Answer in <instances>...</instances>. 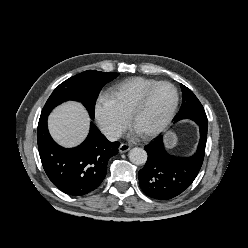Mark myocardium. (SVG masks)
Wrapping results in <instances>:
<instances>
[{
	"label": "myocardium",
	"instance_id": "obj_1",
	"mask_svg": "<svg viewBox=\"0 0 248 248\" xmlns=\"http://www.w3.org/2000/svg\"><path fill=\"white\" fill-rule=\"evenodd\" d=\"M162 85L169 86L173 89L174 101H173V104L171 106L169 113L167 114L165 119L158 126H156L154 129H152L148 132L140 133V136L145 138V139L153 138V137L159 135L160 133H162L168 127V125L171 123V121L173 120V118L176 114L178 102H179V92H178V89L176 88V86L174 84H172L171 82H168V81H157L156 83H154L153 85L148 87L142 93L140 98L137 100V102L131 108L130 113L128 115L129 125L134 129V122H135L136 117L145 107L152 92L157 87L162 86Z\"/></svg>",
	"mask_w": 248,
	"mask_h": 248
}]
</instances>
